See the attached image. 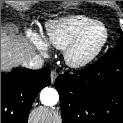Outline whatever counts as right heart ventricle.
<instances>
[{
    "instance_id": "obj_1",
    "label": "right heart ventricle",
    "mask_w": 123,
    "mask_h": 123,
    "mask_svg": "<svg viewBox=\"0 0 123 123\" xmlns=\"http://www.w3.org/2000/svg\"><path fill=\"white\" fill-rule=\"evenodd\" d=\"M84 15H67L45 24V41L48 46L64 50L74 37L84 28L94 23Z\"/></svg>"
}]
</instances>
